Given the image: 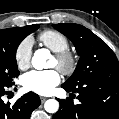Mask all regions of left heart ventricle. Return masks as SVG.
Here are the masks:
<instances>
[{
	"label": "left heart ventricle",
	"instance_id": "1",
	"mask_svg": "<svg viewBox=\"0 0 119 119\" xmlns=\"http://www.w3.org/2000/svg\"><path fill=\"white\" fill-rule=\"evenodd\" d=\"M51 66H56L57 65V61L56 59L53 57L52 60H51Z\"/></svg>",
	"mask_w": 119,
	"mask_h": 119
}]
</instances>
